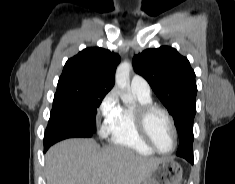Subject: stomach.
I'll return each instance as SVG.
<instances>
[{
    "label": "stomach",
    "instance_id": "obj_1",
    "mask_svg": "<svg viewBox=\"0 0 235 184\" xmlns=\"http://www.w3.org/2000/svg\"><path fill=\"white\" fill-rule=\"evenodd\" d=\"M183 170L173 160H163L153 166L150 176L143 180V184H181Z\"/></svg>",
    "mask_w": 235,
    "mask_h": 184
}]
</instances>
